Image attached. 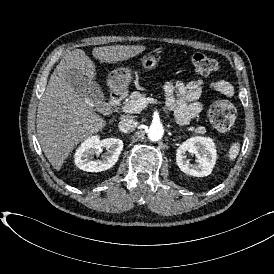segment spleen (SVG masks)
Segmentation results:
<instances>
[{
    "mask_svg": "<svg viewBox=\"0 0 274 274\" xmlns=\"http://www.w3.org/2000/svg\"><path fill=\"white\" fill-rule=\"evenodd\" d=\"M240 151V143H233L229 149L228 157L230 160H234Z\"/></svg>",
    "mask_w": 274,
    "mask_h": 274,
    "instance_id": "spleen-1",
    "label": "spleen"
}]
</instances>
